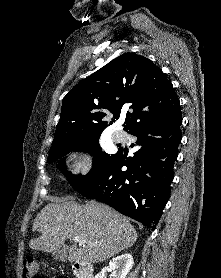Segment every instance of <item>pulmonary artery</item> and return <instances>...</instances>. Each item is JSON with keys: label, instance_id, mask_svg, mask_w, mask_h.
I'll list each match as a JSON object with an SVG mask.
<instances>
[{"label": "pulmonary artery", "instance_id": "1", "mask_svg": "<svg viewBox=\"0 0 221 278\" xmlns=\"http://www.w3.org/2000/svg\"><path fill=\"white\" fill-rule=\"evenodd\" d=\"M113 139L116 142H122L125 139L124 133L122 131H116L113 133Z\"/></svg>", "mask_w": 221, "mask_h": 278}]
</instances>
